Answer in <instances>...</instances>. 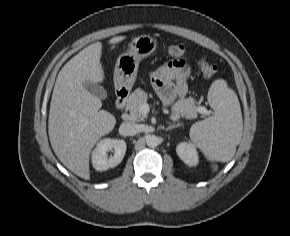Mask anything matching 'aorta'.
Wrapping results in <instances>:
<instances>
[{
    "label": "aorta",
    "instance_id": "obj_1",
    "mask_svg": "<svg viewBox=\"0 0 290 236\" xmlns=\"http://www.w3.org/2000/svg\"><path fill=\"white\" fill-rule=\"evenodd\" d=\"M160 140L156 135H148L146 137V144L147 146L151 147V148H155L159 145Z\"/></svg>",
    "mask_w": 290,
    "mask_h": 236
}]
</instances>
